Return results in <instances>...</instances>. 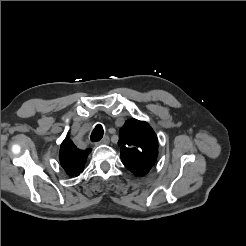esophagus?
Masks as SVG:
<instances>
[{
    "label": "esophagus",
    "instance_id": "obj_1",
    "mask_svg": "<svg viewBox=\"0 0 246 246\" xmlns=\"http://www.w3.org/2000/svg\"><path fill=\"white\" fill-rule=\"evenodd\" d=\"M109 137L108 136H104L99 142L96 143V145H100V144H109Z\"/></svg>",
    "mask_w": 246,
    "mask_h": 246
}]
</instances>
